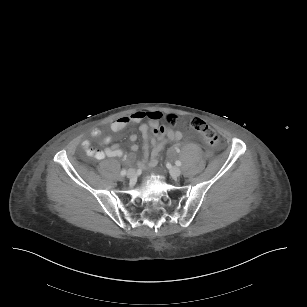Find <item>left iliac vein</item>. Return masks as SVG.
<instances>
[{"instance_id": "4c4485c4", "label": "left iliac vein", "mask_w": 307, "mask_h": 307, "mask_svg": "<svg viewBox=\"0 0 307 307\" xmlns=\"http://www.w3.org/2000/svg\"><path fill=\"white\" fill-rule=\"evenodd\" d=\"M170 174H171L173 179H177L180 176L181 171H180V169L178 167L173 166L170 169Z\"/></svg>"}]
</instances>
